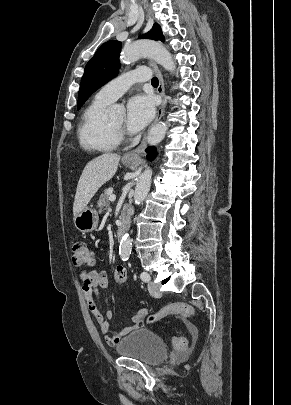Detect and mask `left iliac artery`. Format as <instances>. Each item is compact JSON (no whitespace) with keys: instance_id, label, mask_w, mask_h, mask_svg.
<instances>
[{"instance_id":"obj_1","label":"left iliac artery","mask_w":291,"mask_h":405,"mask_svg":"<svg viewBox=\"0 0 291 405\" xmlns=\"http://www.w3.org/2000/svg\"><path fill=\"white\" fill-rule=\"evenodd\" d=\"M140 278L144 282H148L151 279L150 275L147 272H142L140 274Z\"/></svg>"}]
</instances>
